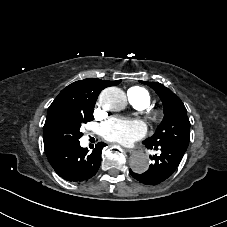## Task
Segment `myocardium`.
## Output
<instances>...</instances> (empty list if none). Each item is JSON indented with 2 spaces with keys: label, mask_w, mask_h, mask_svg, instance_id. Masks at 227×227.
Returning <instances> with one entry per match:
<instances>
[{
  "label": "myocardium",
  "mask_w": 227,
  "mask_h": 227,
  "mask_svg": "<svg viewBox=\"0 0 227 227\" xmlns=\"http://www.w3.org/2000/svg\"><path fill=\"white\" fill-rule=\"evenodd\" d=\"M149 119L154 123H161L167 117V110L162 107H154L148 111Z\"/></svg>",
  "instance_id": "obj_1"
}]
</instances>
